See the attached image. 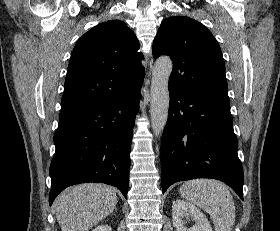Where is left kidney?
<instances>
[{"label": "left kidney", "instance_id": "obj_1", "mask_svg": "<svg viewBox=\"0 0 280 231\" xmlns=\"http://www.w3.org/2000/svg\"><path fill=\"white\" fill-rule=\"evenodd\" d=\"M187 221H195L193 227H186ZM172 223L176 231H212L204 213L189 201L176 199L172 203Z\"/></svg>", "mask_w": 280, "mask_h": 231}]
</instances>
